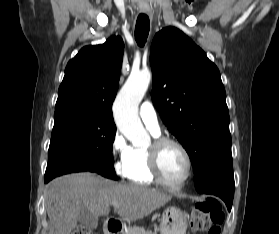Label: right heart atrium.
I'll return each mask as SVG.
<instances>
[{"mask_svg": "<svg viewBox=\"0 0 279 234\" xmlns=\"http://www.w3.org/2000/svg\"><path fill=\"white\" fill-rule=\"evenodd\" d=\"M130 151L131 147L124 135L117 130L111 140V152L114 160V170L120 176H125V165Z\"/></svg>", "mask_w": 279, "mask_h": 234, "instance_id": "1", "label": "right heart atrium"}]
</instances>
